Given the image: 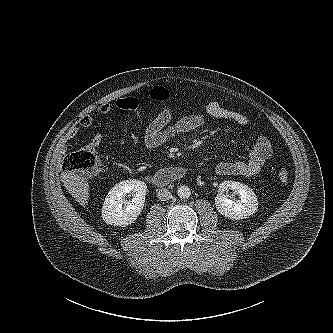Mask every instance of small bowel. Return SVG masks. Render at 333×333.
I'll return each instance as SVG.
<instances>
[{
	"label": "small bowel",
	"mask_w": 333,
	"mask_h": 333,
	"mask_svg": "<svg viewBox=\"0 0 333 333\" xmlns=\"http://www.w3.org/2000/svg\"><path fill=\"white\" fill-rule=\"evenodd\" d=\"M115 106L124 111L138 113L140 102L135 97L119 98ZM100 114L106 115L112 110L111 104L105 103L98 107ZM207 115L216 118L234 122L241 126L250 123V119L242 112L224 107L217 101L209 102L206 105ZM204 113L196 107L190 108L187 113L177 121H172V112L168 108L162 109L157 116L151 120L144 128L143 135L140 137L135 132L130 133L133 144L143 150H153L177 135L188 133L199 128L204 123ZM93 118L90 115L84 116L80 120V125L84 128L92 126ZM79 133V128L74 126L70 128L64 136V143L74 139ZM102 142V135L96 134L93 137L95 146ZM273 147L267 136L260 134L257 136L254 146L249 151L247 160L223 161L217 164L215 171L223 176H252L257 174L265 162L272 156Z\"/></svg>",
	"instance_id": "obj_1"
}]
</instances>
